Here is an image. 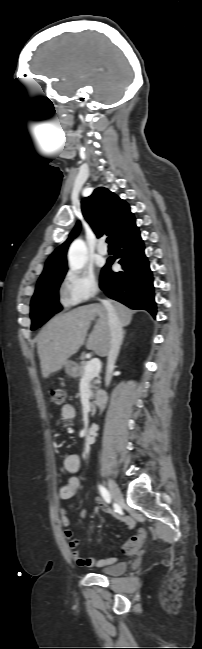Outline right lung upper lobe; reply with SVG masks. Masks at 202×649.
Returning a JSON list of instances; mask_svg holds the SVG:
<instances>
[{
	"label": "right lung upper lobe",
	"instance_id": "obj_1",
	"mask_svg": "<svg viewBox=\"0 0 202 649\" xmlns=\"http://www.w3.org/2000/svg\"><path fill=\"white\" fill-rule=\"evenodd\" d=\"M81 208L85 220L90 224L98 238L107 234L111 235L115 241L138 228L128 203L107 188L99 187L95 189L92 195L81 201ZM79 231L80 222L78 221L66 241L49 256L40 277L67 270L66 253L70 243L78 236Z\"/></svg>",
	"mask_w": 202,
	"mask_h": 649
}]
</instances>
